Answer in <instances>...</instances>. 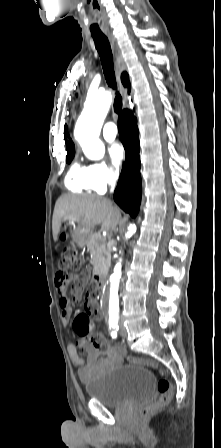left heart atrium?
Instances as JSON below:
<instances>
[{
    "mask_svg": "<svg viewBox=\"0 0 221 448\" xmlns=\"http://www.w3.org/2000/svg\"><path fill=\"white\" fill-rule=\"evenodd\" d=\"M111 162L116 166H120L125 157V149L122 144L112 143L108 149Z\"/></svg>",
    "mask_w": 221,
    "mask_h": 448,
    "instance_id": "1",
    "label": "left heart atrium"
}]
</instances>
